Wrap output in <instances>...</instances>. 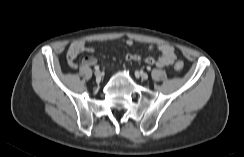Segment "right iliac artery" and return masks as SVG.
I'll return each instance as SVG.
<instances>
[{"label": "right iliac artery", "mask_w": 244, "mask_h": 157, "mask_svg": "<svg viewBox=\"0 0 244 157\" xmlns=\"http://www.w3.org/2000/svg\"><path fill=\"white\" fill-rule=\"evenodd\" d=\"M95 71H99V66L94 67Z\"/></svg>", "instance_id": "obj_1"}]
</instances>
